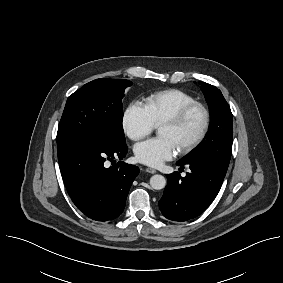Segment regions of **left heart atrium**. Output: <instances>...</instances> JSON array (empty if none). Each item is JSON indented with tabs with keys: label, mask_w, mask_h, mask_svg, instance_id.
<instances>
[{
	"label": "left heart atrium",
	"mask_w": 283,
	"mask_h": 283,
	"mask_svg": "<svg viewBox=\"0 0 283 283\" xmlns=\"http://www.w3.org/2000/svg\"><path fill=\"white\" fill-rule=\"evenodd\" d=\"M176 152L174 143L164 137L150 138L138 143L134 148L137 160L151 167H158L171 160Z\"/></svg>",
	"instance_id": "1"
}]
</instances>
